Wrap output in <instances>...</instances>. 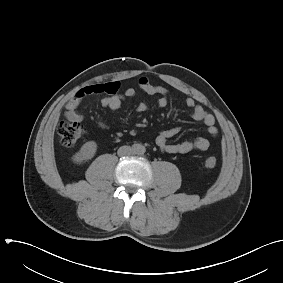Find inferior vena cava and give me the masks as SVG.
Instances as JSON below:
<instances>
[{
  "instance_id": "obj_1",
  "label": "inferior vena cava",
  "mask_w": 283,
  "mask_h": 283,
  "mask_svg": "<svg viewBox=\"0 0 283 283\" xmlns=\"http://www.w3.org/2000/svg\"><path fill=\"white\" fill-rule=\"evenodd\" d=\"M118 155L119 156H127V155H131L133 153V149L130 146H121L118 149Z\"/></svg>"
}]
</instances>
